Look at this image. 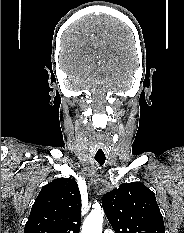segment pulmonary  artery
I'll return each instance as SVG.
<instances>
[{"label": "pulmonary artery", "mask_w": 184, "mask_h": 233, "mask_svg": "<svg viewBox=\"0 0 184 233\" xmlns=\"http://www.w3.org/2000/svg\"><path fill=\"white\" fill-rule=\"evenodd\" d=\"M103 233H114V231L113 230H111V229H106V230H104V232Z\"/></svg>", "instance_id": "1"}]
</instances>
